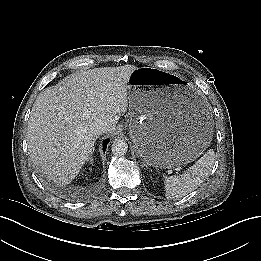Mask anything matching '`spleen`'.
I'll return each instance as SVG.
<instances>
[{
    "label": "spleen",
    "mask_w": 261,
    "mask_h": 261,
    "mask_svg": "<svg viewBox=\"0 0 261 261\" xmlns=\"http://www.w3.org/2000/svg\"><path fill=\"white\" fill-rule=\"evenodd\" d=\"M215 163V152L209 149L196 163L181 175L165 178L167 199H178L194 191L210 174Z\"/></svg>",
    "instance_id": "1"
}]
</instances>
